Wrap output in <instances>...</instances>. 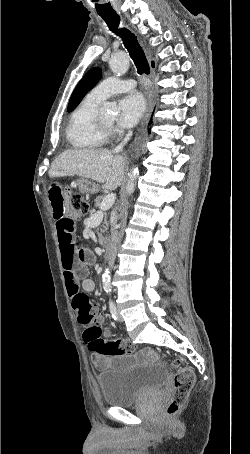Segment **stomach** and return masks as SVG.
<instances>
[{"mask_svg": "<svg viewBox=\"0 0 250 454\" xmlns=\"http://www.w3.org/2000/svg\"><path fill=\"white\" fill-rule=\"evenodd\" d=\"M50 184H53V183L51 182ZM80 189L84 192L95 193V192H97L98 187L94 183L84 180L82 182V184L80 185Z\"/></svg>", "mask_w": 250, "mask_h": 454, "instance_id": "1", "label": "stomach"}]
</instances>
